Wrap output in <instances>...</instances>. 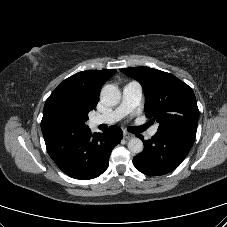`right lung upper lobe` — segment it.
Segmentation results:
<instances>
[{
	"instance_id": "right-lung-upper-lobe-1",
	"label": "right lung upper lobe",
	"mask_w": 227,
	"mask_h": 227,
	"mask_svg": "<svg viewBox=\"0 0 227 227\" xmlns=\"http://www.w3.org/2000/svg\"><path fill=\"white\" fill-rule=\"evenodd\" d=\"M115 72L116 70L113 69L86 70L78 72L65 79L46 100L43 110V118L46 109L55 102L69 104L73 106L83 117L88 118L89 111L95 109L99 101V94L103 84L110 77H112ZM85 128H88L85 123L79 126V130H83ZM41 129L44 137L58 133L45 129L42 122Z\"/></svg>"
}]
</instances>
